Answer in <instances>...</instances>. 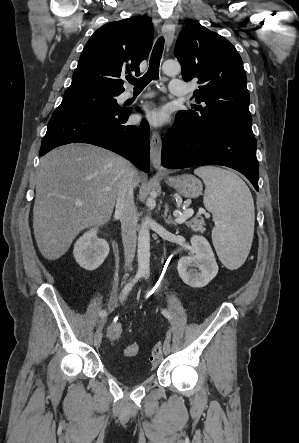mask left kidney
<instances>
[{"instance_id":"obj_1","label":"left kidney","mask_w":299,"mask_h":443,"mask_svg":"<svg viewBox=\"0 0 299 443\" xmlns=\"http://www.w3.org/2000/svg\"><path fill=\"white\" fill-rule=\"evenodd\" d=\"M191 244L195 255L182 257L178 261V274L187 285L201 288L217 275L218 265L212 248L205 237L194 235L191 238ZM192 265L198 267L199 272L189 270Z\"/></svg>"}]
</instances>
